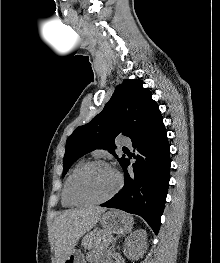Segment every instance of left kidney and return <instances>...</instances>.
<instances>
[{"instance_id":"5707ae66","label":"left kidney","mask_w":220,"mask_h":263,"mask_svg":"<svg viewBox=\"0 0 220 263\" xmlns=\"http://www.w3.org/2000/svg\"><path fill=\"white\" fill-rule=\"evenodd\" d=\"M147 233L139 229L130 234L125 240L123 252L124 255L132 260H138L143 256L147 249Z\"/></svg>"}]
</instances>
